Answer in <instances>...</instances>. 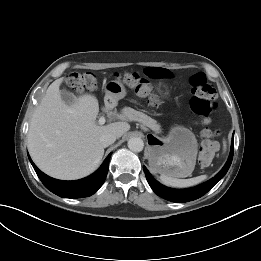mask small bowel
Wrapping results in <instances>:
<instances>
[{"mask_svg":"<svg viewBox=\"0 0 261 261\" xmlns=\"http://www.w3.org/2000/svg\"><path fill=\"white\" fill-rule=\"evenodd\" d=\"M149 77L156 79H166L171 77V72L165 68H149L146 70Z\"/></svg>","mask_w":261,"mask_h":261,"instance_id":"small-bowel-1","label":"small bowel"}]
</instances>
